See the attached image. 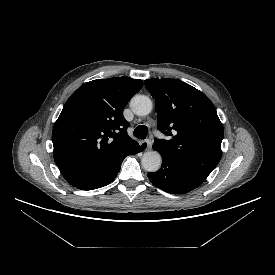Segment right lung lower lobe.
Masks as SVG:
<instances>
[{"label": "right lung lower lobe", "instance_id": "98d812e1", "mask_svg": "<svg viewBox=\"0 0 275 275\" xmlns=\"http://www.w3.org/2000/svg\"><path fill=\"white\" fill-rule=\"evenodd\" d=\"M145 148H146L145 144H143L142 146H138L130 155L142 152ZM120 167H121V163L119 165H117L116 167H114L107 174L102 175V176L95 178L93 180H90L88 182L82 183L76 187L81 190H93V189H97V188L106 186L107 184L111 183L116 178L118 172L120 171Z\"/></svg>", "mask_w": 275, "mask_h": 275}]
</instances>
